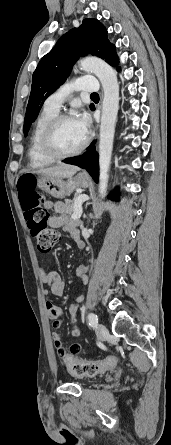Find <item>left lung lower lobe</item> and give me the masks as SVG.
I'll use <instances>...</instances> for the list:
<instances>
[{
	"instance_id": "obj_1",
	"label": "left lung lower lobe",
	"mask_w": 171,
	"mask_h": 445,
	"mask_svg": "<svg viewBox=\"0 0 171 445\" xmlns=\"http://www.w3.org/2000/svg\"><path fill=\"white\" fill-rule=\"evenodd\" d=\"M92 110H94V107L92 108ZM98 155L96 152V148H95V143H92L89 147L88 150L77 157H72V158H68L63 160V162L68 163V164H73V165H77L81 168L86 169L89 174L92 176V178L98 182V176H99V165H98ZM118 196V191L115 190L113 192V194L110 196V199L112 200H116Z\"/></svg>"
}]
</instances>
